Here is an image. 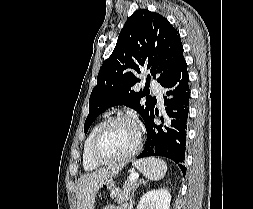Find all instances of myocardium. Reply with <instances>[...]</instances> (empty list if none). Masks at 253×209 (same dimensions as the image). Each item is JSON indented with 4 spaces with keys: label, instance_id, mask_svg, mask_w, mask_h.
Instances as JSON below:
<instances>
[{
    "label": "myocardium",
    "instance_id": "f54148a6",
    "mask_svg": "<svg viewBox=\"0 0 253 209\" xmlns=\"http://www.w3.org/2000/svg\"><path fill=\"white\" fill-rule=\"evenodd\" d=\"M118 120H126L131 122L135 128H136V133H137V138H136V143L134 145V147L127 152L126 154L117 157V158H104L101 155H99L98 151H97V147H98V143L100 140V137L104 131V129L112 122L114 121H118ZM142 139H143V134H142V130H141V126L139 124V122L130 114H126V113H119V114H115L112 115L110 117H108L106 120H104L100 126L98 127L93 140H92V145H91V156L93 158V160L98 163V164H115V163H121L124 162L130 158H132L134 155L137 154V152L140 150L141 145H142Z\"/></svg>",
    "mask_w": 253,
    "mask_h": 209
}]
</instances>
